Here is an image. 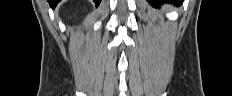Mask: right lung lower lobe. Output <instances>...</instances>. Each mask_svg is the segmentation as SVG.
Wrapping results in <instances>:
<instances>
[{"label": "right lung lower lobe", "instance_id": "obj_1", "mask_svg": "<svg viewBox=\"0 0 232 96\" xmlns=\"http://www.w3.org/2000/svg\"><path fill=\"white\" fill-rule=\"evenodd\" d=\"M61 1V0H48L49 4L51 7L55 8L56 4ZM96 4V6H98L101 2V0H93Z\"/></svg>", "mask_w": 232, "mask_h": 96}]
</instances>
